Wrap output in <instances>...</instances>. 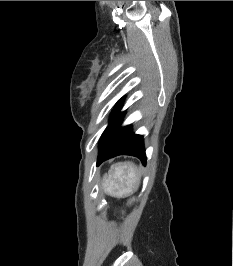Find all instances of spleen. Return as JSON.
<instances>
[{
    "instance_id": "3e777b00",
    "label": "spleen",
    "mask_w": 233,
    "mask_h": 266,
    "mask_svg": "<svg viewBox=\"0 0 233 266\" xmlns=\"http://www.w3.org/2000/svg\"><path fill=\"white\" fill-rule=\"evenodd\" d=\"M137 166L130 162L116 163L109 169L102 182L104 191L114 197H125L139 186Z\"/></svg>"
}]
</instances>
